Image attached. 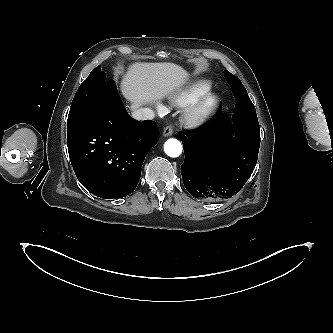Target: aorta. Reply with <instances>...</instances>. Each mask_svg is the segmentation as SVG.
<instances>
[{"label":"aorta","instance_id":"1","mask_svg":"<svg viewBox=\"0 0 333 333\" xmlns=\"http://www.w3.org/2000/svg\"><path fill=\"white\" fill-rule=\"evenodd\" d=\"M164 151L170 157H178L182 153V145L179 140L171 138L165 142Z\"/></svg>","mask_w":333,"mask_h":333}]
</instances>
